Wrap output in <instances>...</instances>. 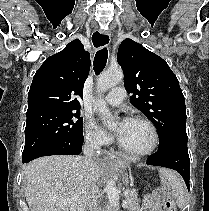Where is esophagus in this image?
I'll return each mask as SVG.
<instances>
[{
	"label": "esophagus",
	"mask_w": 209,
	"mask_h": 211,
	"mask_svg": "<svg viewBox=\"0 0 209 211\" xmlns=\"http://www.w3.org/2000/svg\"><path fill=\"white\" fill-rule=\"evenodd\" d=\"M92 42L95 47L108 46L111 36L108 32H101V35L96 33L92 36ZM96 159H99V163H105V159H118V154H110V151H97Z\"/></svg>",
	"instance_id": "34e87169"
}]
</instances>
